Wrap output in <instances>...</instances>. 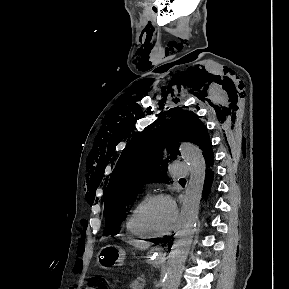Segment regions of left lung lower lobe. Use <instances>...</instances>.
<instances>
[{
    "label": "left lung lower lobe",
    "instance_id": "0a47b994",
    "mask_svg": "<svg viewBox=\"0 0 289 289\" xmlns=\"http://www.w3.org/2000/svg\"><path fill=\"white\" fill-rule=\"evenodd\" d=\"M205 163H206V174L202 194L203 197L206 198L208 193L212 191L214 181V169H213L214 155L212 150L206 155Z\"/></svg>",
    "mask_w": 289,
    "mask_h": 289
}]
</instances>
